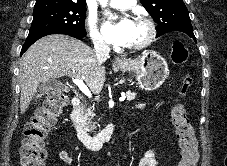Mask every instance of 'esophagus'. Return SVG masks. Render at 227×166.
<instances>
[{
    "label": "esophagus",
    "instance_id": "1",
    "mask_svg": "<svg viewBox=\"0 0 227 166\" xmlns=\"http://www.w3.org/2000/svg\"><path fill=\"white\" fill-rule=\"evenodd\" d=\"M114 63L115 64H121L122 63V60L119 59V58H115Z\"/></svg>",
    "mask_w": 227,
    "mask_h": 166
}]
</instances>
